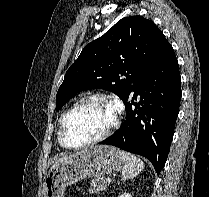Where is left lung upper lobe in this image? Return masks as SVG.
<instances>
[{
	"instance_id": "5c2ea615",
	"label": "left lung upper lobe",
	"mask_w": 209,
	"mask_h": 197,
	"mask_svg": "<svg viewBox=\"0 0 209 197\" xmlns=\"http://www.w3.org/2000/svg\"><path fill=\"white\" fill-rule=\"evenodd\" d=\"M165 41L152 21L141 16L122 18L86 45L67 70L57 92L56 110L76 93L95 88L112 91L124 101Z\"/></svg>"
}]
</instances>
